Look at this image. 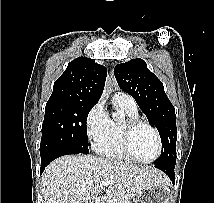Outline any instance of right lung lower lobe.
<instances>
[{"mask_svg":"<svg viewBox=\"0 0 214 203\" xmlns=\"http://www.w3.org/2000/svg\"><path fill=\"white\" fill-rule=\"evenodd\" d=\"M69 154H79L77 152H72L69 150H63V149H57L50 152L45 153L41 156V167H40V173L43 172L45 167L52 162L54 159L63 156V155H69Z\"/></svg>","mask_w":214,"mask_h":203,"instance_id":"1","label":"right lung lower lobe"}]
</instances>
